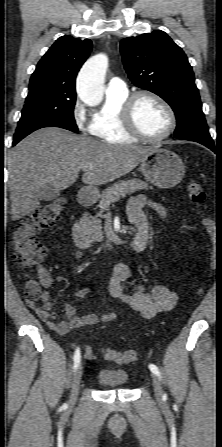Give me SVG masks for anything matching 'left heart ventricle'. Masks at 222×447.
Returning <instances> with one entry per match:
<instances>
[{"label":"left heart ventricle","instance_id":"1","mask_svg":"<svg viewBox=\"0 0 222 447\" xmlns=\"http://www.w3.org/2000/svg\"><path fill=\"white\" fill-rule=\"evenodd\" d=\"M134 120L137 127L151 137L162 135L169 122L164 108L149 97L138 100L134 109Z\"/></svg>","mask_w":222,"mask_h":447}]
</instances>
